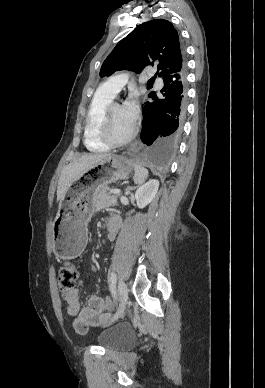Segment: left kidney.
<instances>
[{"label": "left kidney", "instance_id": "5707ae66", "mask_svg": "<svg viewBox=\"0 0 265 388\" xmlns=\"http://www.w3.org/2000/svg\"><path fill=\"white\" fill-rule=\"evenodd\" d=\"M159 188L158 180H149L143 186L138 188L135 198L138 208H145L152 200H154Z\"/></svg>", "mask_w": 265, "mask_h": 388}]
</instances>
